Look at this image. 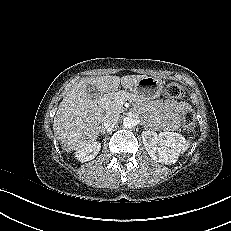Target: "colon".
I'll return each instance as SVG.
<instances>
[{"label": "colon", "mask_w": 231, "mask_h": 231, "mask_svg": "<svg viewBox=\"0 0 231 231\" xmlns=\"http://www.w3.org/2000/svg\"><path fill=\"white\" fill-rule=\"evenodd\" d=\"M165 93L168 97L180 99L184 96L183 88L175 83H169L165 88ZM180 126L187 132H193L196 128L195 115L192 110L184 111L179 118Z\"/></svg>", "instance_id": "5ec220e1"}]
</instances>
